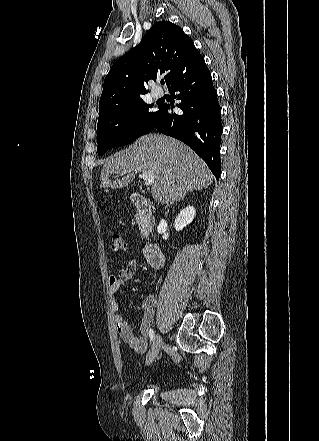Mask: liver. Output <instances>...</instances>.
Instances as JSON below:
<instances>
[{
  "instance_id": "liver-1",
  "label": "liver",
  "mask_w": 319,
  "mask_h": 441,
  "mask_svg": "<svg viewBox=\"0 0 319 441\" xmlns=\"http://www.w3.org/2000/svg\"><path fill=\"white\" fill-rule=\"evenodd\" d=\"M155 174L152 197L160 204L183 200L186 193L208 188L213 175L207 165L184 143L159 134L137 139L126 153L110 156L101 170L100 188H123L131 183L134 172ZM121 180L109 179L112 174H126Z\"/></svg>"
}]
</instances>
